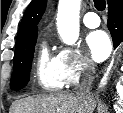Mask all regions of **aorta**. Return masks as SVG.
I'll use <instances>...</instances> for the list:
<instances>
[{
    "label": "aorta",
    "mask_w": 123,
    "mask_h": 113,
    "mask_svg": "<svg viewBox=\"0 0 123 113\" xmlns=\"http://www.w3.org/2000/svg\"><path fill=\"white\" fill-rule=\"evenodd\" d=\"M81 0H59L57 30L62 41L74 44L79 37V12Z\"/></svg>",
    "instance_id": "1"
}]
</instances>
